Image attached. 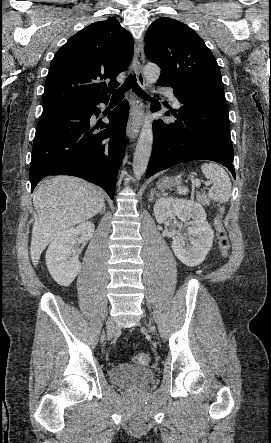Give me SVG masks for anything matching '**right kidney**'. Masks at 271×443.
<instances>
[{
  "label": "right kidney",
  "instance_id": "obj_1",
  "mask_svg": "<svg viewBox=\"0 0 271 443\" xmlns=\"http://www.w3.org/2000/svg\"><path fill=\"white\" fill-rule=\"evenodd\" d=\"M94 223L83 222L77 227L65 229L60 235H56L46 251L47 267L55 281L60 285H70L75 279L81 263L78 259L81 249H75L74 245L79 239H90L94 233Z\"/></svg>",
  "mask_w": 271,
  "mask_h": 443
}]
</instances>
